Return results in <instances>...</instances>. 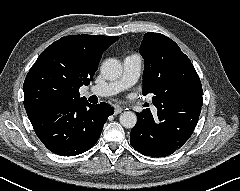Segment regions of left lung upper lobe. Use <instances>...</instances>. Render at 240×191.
<instances>
[{
    "label": "left lung upper lobe",
    "instance_id": "obj_1",
    "mask_svg": "<svg viewBox=\"0 0 240 191\" xmlns=\"http://www.w3.org/2000/svg\"><path fill=\"white\" fill-rule=\"evenodd\" d=\"M140 54L145 60L143 92L154 95L153 104L158 110L170 109L185 98L203 103L199 76L173 40L160 33H146Z\"/></svg>",
    "mask_w": 240,
    "mask_h": 191
}]
</instances>
